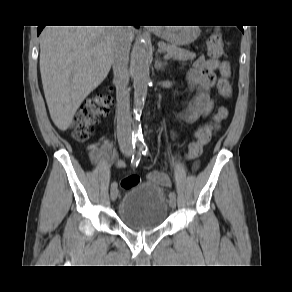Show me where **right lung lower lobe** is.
I'll use <instances>...</instances> for the list:
<instances>
[{
	"mask_svg": "<svg viewBox=\"0 0 292 292\" xmlns=\"http://www.w3.org/2000/svg\"><path fill=\"white\" fill-rule=\"evenodd\" d=\"M43 28H44V26H38V30H37L38 35L40 34V32L42 31Z\"/></svg>",
	"mask_w": 292,
	"mask_h": 292,
	"instance_id": "obj_1",
	"label": "right lung lower lobe"
}]
</instances>
